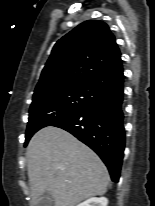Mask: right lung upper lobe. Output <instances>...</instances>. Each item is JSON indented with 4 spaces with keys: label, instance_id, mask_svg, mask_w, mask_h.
Listing matches in <instances>:
<instances>
[{
    "label": "right lung upper lobe",
    "instance_id": "obj_1",
    "mask_svg": "<svg viewBox=\"0 0 155 206\" xmlns=\"http://www.w3.org/2000/svg\"><path fill=\"white\" fill-rule=\"evenodd\" d=\"M123 79L114 35L104 22L89 20L55 44L34 93L75 85L102 92Z\"/></svg>",
    "mask_w": 155,
    "mask_h": 206
}]
</instances>
